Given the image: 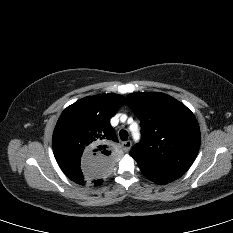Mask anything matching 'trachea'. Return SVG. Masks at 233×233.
I'll return each mask as SVG.
<instances>
[{
	"label": "trachea",
	"mask_w": 233,
	"mask_h": 233,
	"mask_svg": "<svg viewBox=\"0 0 233 233\" xmlns=\"http://www.w3.org/2000/svg\"><path fill=\"white\" fill-rule=\"evenodd\" d=\"M119 135H120V139H121L122 141H126V140L128 139V132L125 131V130H121V131L119 132Z\"/></svg>",
	"instance_id": "3493384b"
}]
</instances>
